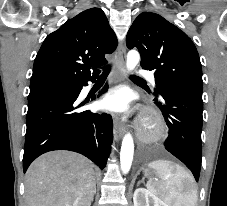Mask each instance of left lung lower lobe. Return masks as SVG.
I'll use <instances>...</instances> for the list:
<instances>
[{"label": "left lung lower lobe", "instance_id": "1", "mask_svg": "<svg viewBox=\"0 0 227 206\" xmlns=\"http://www.w3.org/2000/svg\"><path fill=\"white\" fill-rule=\"evenodd\" d=\"M163 101L155 98L169 129L163 148L180 159L199 179L201 167L202 93L167 88L160 92Z\"/></svg>", "mask_w": 227, "mask_h": 206}]
</instances>
